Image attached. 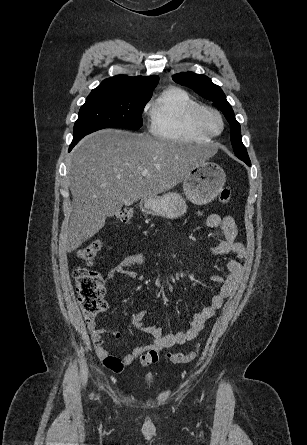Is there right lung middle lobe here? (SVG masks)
Masks as SVG:
<instances>
[{
	"label": "right lung middle lobe",
	"instance_id": "obj_1",
	"mask_svg": "<svg viewBox=\"0 0 307 445\" xmlns=\"http://www.w3.org/2000/svg\"><path fill=\"white\" fill-rule=\"evenodd\" d=\"M150 98L112 95L88 96L74 125V138L108 127L139 129L141 113Z\"/></svg>",
	"mask_w": 307,
	"mask_h": 445
}]
</instances>
